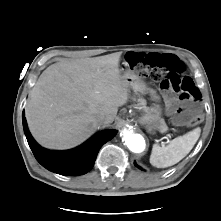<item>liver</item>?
<instances>
[{
  "label": "liver",
  "instance_id": "obj_1",
  "mask_svg": "<svg viewBox=\"0 0 221 221\" xmlns=\"http://www.w3.org/2000/svg\"><path fill=\"white\" fill-rule=\"evenodd\" d=\"M121 53L55 63L39 77L25 108L31 134L42 146L69 149L111 124L129 98L119 69ZM105 119L99 123L97 115Z\"/></svg>",
  "mask_w": 221,
  "mask_h": 221
}]
</instances>
